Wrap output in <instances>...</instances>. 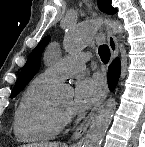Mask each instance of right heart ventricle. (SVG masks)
<instances>
[{"mask_svg":"<svg viewBox=\"0 0 145 147\" xmlns=\"http://www.w3.org/2000/svg\"><path fill=\"white\" fill-rule=\"evenodd\" d=\"M57 82L44 73L24 90L14 115V133L21 140L35 142L54 138L63 122L54 110L51 93Z\"/></svg>","mask_w":145,"mask_h":147,"instance_id":"obj_1","label":"right heart ventricle"}]
</instances>
